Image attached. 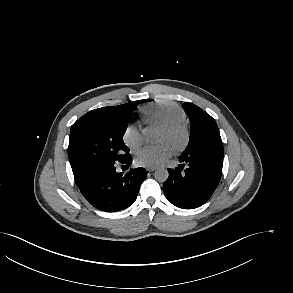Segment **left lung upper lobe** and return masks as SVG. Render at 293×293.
<instances>
[{
	"label": "left lung upper lobe",
	"instance_id": "obj_1",
	"mask_svg": "<svg viewBox=\"0 0 293 293\" xmlns=\"http://www.w3.org/2000/svg\"><path fill=\"white\" fill-rule=\"evenodd\" d=\"M183 108L189 117L191 132L188 146L181 156L203 151L223 157V143L215 120L192 103H184Z\"/></svg>",
	"mask_w": 293,
	"mask_h": 293
}]
</instances>
